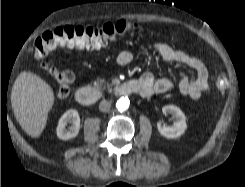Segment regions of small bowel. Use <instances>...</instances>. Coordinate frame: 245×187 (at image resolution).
I'll return each instance as SVG.
<instances>
[{
	"label": "small bowel",
	"mask_w": 245,
	"mask_h": 187,
	"mask_svg": "<svg viewBox=\"0 0 245 187\" xmlns=\"http://www.w3.org/2000/svg\"><path fill=\"white\" fill-rule=\"evenodd\" d=\"M154 49L165 61L184 64L196 72L195 78H191L186 73L179 74L178 89L182 96L198 99L210 92L208 70L200 59L165 42H156ZM132 60L133 55L128 50L120 51L116 57L117 63L121 66L129 65ZM139 82L143 86V97L163 94L174 87L173 82L168 77L155 78L151 73L142 74L139 77Z\"/></svg>",
	"instance_id": "c3829d8e"
}]
</instances>
